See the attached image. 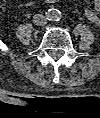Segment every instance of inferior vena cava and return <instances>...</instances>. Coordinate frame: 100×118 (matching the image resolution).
Wrapping results in <instances>:
<instances>
[{
  "label": "inferior vena cava",
  "mask_w": 100,
  "mask_h": 118,
  "mask_svg": "<svg viewBox=\"0 0 100 118\" xmlns=\"http://www.w3.org/2000/svg\"><path fill=\"white\" fill-rule=\"evenodd\" d=\"M48 18L43 14H35L33 16V23L37 26H44L47 24Z\"/></svg>",
  "instance_id": "602c4592"
}]
</instances>
